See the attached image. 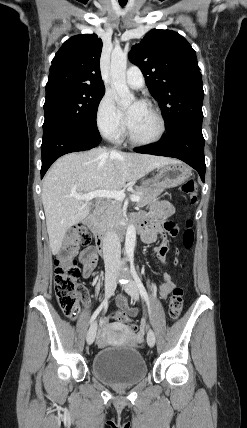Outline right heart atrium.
Returning a JSON list of instances; mask_svg holds the SVG:
<instances>
[{
	"instance_id": "right-heart-atrium-1",
	"label": "right heart atrium",
	"mask_w": 247,
	"mask_h": 428,
	"mask_svg": "<svg viewBox=\"0 0 247 428\" xmlns=\"http://www.w3.org/2000/svg\"><path fill=\"white\" fill-rule=\"evenodd\" d=\"M96 125L102 135L118 140L124 133V122L111 94L105 93L96 109Z\"/></svg>"
}]
</instances>
